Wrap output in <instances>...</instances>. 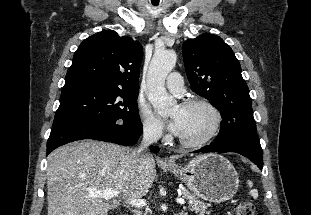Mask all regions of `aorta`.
Returning a JSON list of instances; mask_svg holds the SVG:
<instances>
[{"mask_svg": "<svg viewBox=\"0 0 311 215\" xmlns=\"http://www.w3.org/2000/svg\"><path fill=\"white\" fill-rule=\"evenodd\" d=\"M177 55L173 50L155 52L147 74V97L156 113L165 117L173 111L176 100L166 92L165 79L175 67Z\"/></svg>", "mask_w": 311, "mask_h": 215, "instance_id": "obj_1", "label": "aorta"}]
</instances>
